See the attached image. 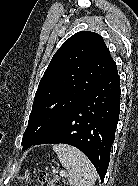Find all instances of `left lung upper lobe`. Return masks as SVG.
Returning <instances> with one entry per match:
<instances>
[{
    "mask_svg": "<svg viewBox=\"0 0 138 186\" xmlns=\"http://www.w3.org/2000/svg\"><path fill=\"white\" fill-rule=\"evenodd\" d=\"M116 66L97 33H75L58 49L35 94L23 134L27 149L59 124Z\"/></svg>",
    "mask_w": 138,
    "mask_h": 186,
    "instance_id": "5c2ea615",
    "label": "left lung upper lobe"
}]
</instances>
